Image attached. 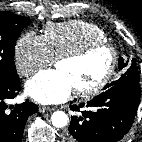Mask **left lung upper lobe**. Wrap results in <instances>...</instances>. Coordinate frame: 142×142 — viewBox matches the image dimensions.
Returning <instances> with one entry per match:
<instances>
[{"mask_svg": "<svg viewBox=\"0 0 142 142\" xmlns=\"http://www.w3.org/2000/svg\"><path fill=\"white\" fill-rule=\"evenodd\" d=\"M118 67L120 70L124 68L123 74L118 80L106 85L103 90H106L114 85L125 83L128 81H140L138 68L134 60H132V63H128V61L124 62V59L120 58Z\"/></svg>", "mask_w": 142, "mask_h": 142, "instance_id": "5c2ea615", "label": "left lung upper lobe"}]
</instances>
